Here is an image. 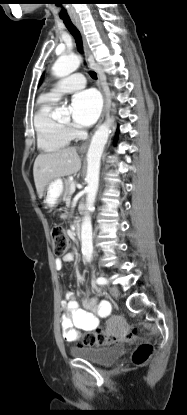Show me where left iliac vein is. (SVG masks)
Listing matches in <instances>:
<instances>
[{
	"mask_svg": "<svg viewBox=\"0 0 187 415\" xmlns=\"http://www.w3.org/2000/svg\"><path fill=\"white\" fill-rule=\"evenodd\" d=\"M110 293L115 298L119 297V290L116 286L110 288Z\"/></svg>",
	"mask_w": 187,
	"mask_h": 415,
	"instance_id": "obj_1",
	"label": "left iliac vein"
}]
</instances>
